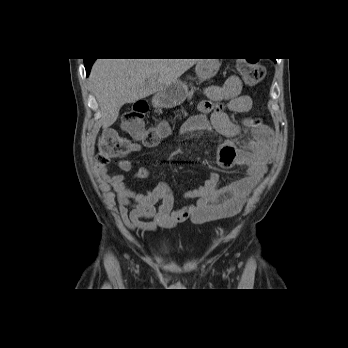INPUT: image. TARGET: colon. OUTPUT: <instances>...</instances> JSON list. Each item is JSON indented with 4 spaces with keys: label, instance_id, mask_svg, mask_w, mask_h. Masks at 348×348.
Masks as SVG:
<instances>
[{
    "label": "colon",
    "instance_id": "colon-1",
    "mask_svg": "<svg viewBox=\"0 0 348 348\" xmlns=\"http://www.w3.org/2000/svg\"><path fill=\"white\" fill-rule=\"evenodd\" d=\"M239 73L248 85H257L265 75V67L256 59H241L238 62ZM146 103L137 102L128 110L122 118L121 126L133 138L141 140L147 145H154L165 137L170 130L168 121H161L156 125L147 128L144 118L147 114ZM260 121L256 119L254 124ZM131 143L116 130L104 131L98 142L96 161L100 166L109 164L112 160L129 153Z\"/></svg>",
    "mask_w": 348,
    "mask_h": 348
}]
</instances>
